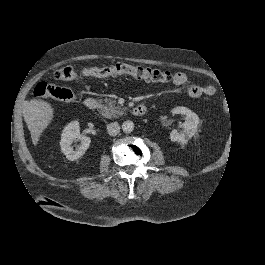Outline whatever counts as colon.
I'll use <instances>...</instances> for the list:
<instances>
[{
    "mask_svg": "<svg viewBox=\"0 0 265 265\" xmlns=\"http://www.w3.org/2000/svg\"><path fill=\"white\" fill-rule=\"evenodd\" d=\"M84 74L88 77L130 75L138 80L159 83H165L171 79V75L167 71L149 67L133 66L126 63H117L105 67H89L84 70ZM55 77L62 81L78 80L77 72L70 66L58 69L55 73ZM34 96L39 98H52L66 102L74 101L77 98V94L72 89L46 82H40L36 85Z\"/></svg>",
    "mask_w": 265,
    "mask_h": 265,
    "instance_id": "1",
    "label": "colon"
}]
</instances>
